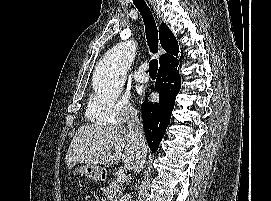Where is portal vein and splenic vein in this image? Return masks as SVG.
I'll return each instance as SVG.
<instances>
[{"label": "portal vein and splenic vein", "instance_id": "1", "mask_svg": "<svg viewBox=\"0 0 271 201\" xmlns=\"http://www.w3.org/2000/svg\"><path fill=\"white\" fill-rule=\"evenodd\" d=\"M126 180V175L124 173H119L117 177L118 183H123Z\"/></svg>", "mask_w": 271, "mask_h": 201}]
</instances>
